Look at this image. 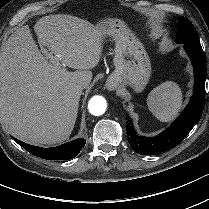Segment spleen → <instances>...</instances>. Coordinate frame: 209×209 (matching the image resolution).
Listing matches in <instances>:
<instances>
[{"mask_svg":"<svg viewBox=\"0 0 209 209\" xmlns=\"http://www.w3.org/2000/svg\"><path fill=\"white\" fill-rule=\"evenodd\" d=\"M182 91L178 84L167 81L154 88L147 97V105L161 122L172 121L182 108Z\"/></svg>","mask_w":209,"mask_h":209,"instance_id":"spleen-1","label":"spleen"}]
</instances>
